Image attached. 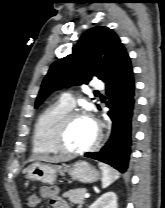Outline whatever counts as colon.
<instances>
[{"mask_svg":"<svg viewBox=\"0 0 165 208\" xmlns=\"http://www.w3.org/2000/svg\"><path fill=\"white\" fill-rule=\"evenodd\" d=\"M27 204L30 208H35L39 203V198L34 192L26 193Z\"/></svg>","mask_w":165,"mask_h":208,"instance_id":"obj_1","label":"colon"}]
</instances>
